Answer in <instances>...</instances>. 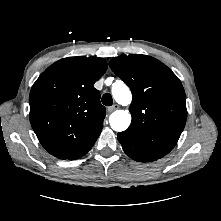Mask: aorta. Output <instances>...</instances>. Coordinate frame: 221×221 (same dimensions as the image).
<instances>
[{
    "label": "aorta",
    "instance_id": "762f6f07",
    "mask_svg": "<svg viewBox=\"0 0 221 221\" xmlns=\"http://www.w3.org/2000/svg\"><path fill=\"white\" fill-rule=\"evenodd\" d=\"M112 95L120 105L131 103L132 94L128 86L122 81H117L112 86ZM109 123L114 131H125L131 123V114L128 110H116L109 117Z\"/></svg>",
    "mask_w": 221,
    "mask_h": 221
}]
</instances>
